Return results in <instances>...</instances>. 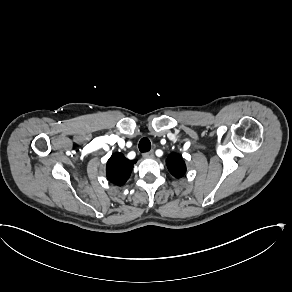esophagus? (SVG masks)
Returning a JSON list of instances; mask_svg holds the SVG:
<instances>
[{
  "label": "esophagus",
  "instance_id": "esophagus-1",
  "mask_svg": "<svg viewBox=\"0 0 292 292\" xmlns=\"http://www.w3.org/2000/svg\"><path fill=\"white\" fill-rule=\"evenodd\" d=\"M142 156H143L144 158H154V151L151 150V151H148V152H146V153H143Z\"/></svg>",
  "mask_w": 292,
  "mask_h": 292
}]
</instances>
